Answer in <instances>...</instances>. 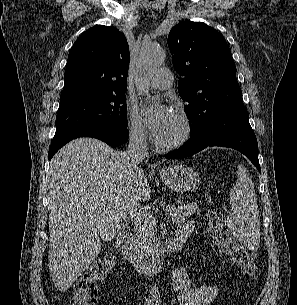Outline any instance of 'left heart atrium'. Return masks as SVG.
<instances>
[{
  "label": "left heart atrium",
  "mask_w": 297,
  "mask_h": 305,
  "mask_svg": "<svg viewBox=\"0 0 297 305\" xmlns=\"http://www.w3.org/2000/svg\"><path fill=\"white\" fill-rule=\"evenodd\" d=\"M173 116L174 112L167 105H160L150 113L147 124L155 138L167 127Z\"/></svg>",
  "instance_id": "1"
}]
</instances>
